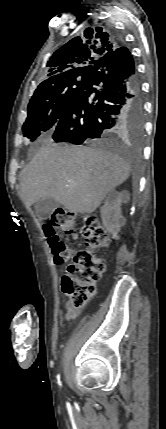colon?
<instances>
[{"label": "colon", "instance_id": "obj_1", "mask_svg": "<svg viewBox=\"0 0 166 429\" xmlns=\"http://www.w3.org/2000/svg\"><path fill=\"white\" fill-rule=\"evenodd\" d=\"M77 220L76 213L57 209L51 216V222L44 226L54 261L62 263L73 260L62 277L61 286L70 305L75 308L84 306L95 295L96 283L105 271V263L93 251L107 247L110 241L98 219L85 216L81 232L88 249L73 250L61 240L56 230L75 235Z\"/></svg>", "mask_w": 166, "mask_h": 429}]
</instances>
